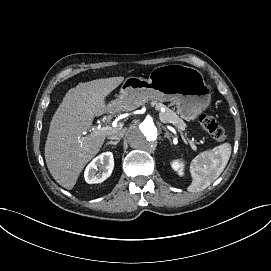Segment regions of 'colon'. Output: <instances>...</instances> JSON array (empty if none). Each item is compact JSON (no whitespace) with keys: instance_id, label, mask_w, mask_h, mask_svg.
Returning a JSON list of instances; mask_svg holds the SVG:
<instances>
[{"instance_id":"1","label":"colon","mask_w":271,"mask_h":271,"mask_svg":"<svg viewBox=\"0 0 271 271\" xmlns=\"http://www.w3.org/2000/svg\"><path fill=\"white\" fill-rule=\"evenodd\" d=\"M199 124L212 139L218 142L226 141L227 134L225 129L212 116L202 113L199 116Z\"/></svg>"}]
</instances>
